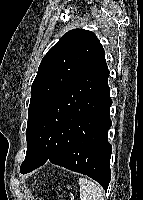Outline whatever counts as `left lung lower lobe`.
<instances>
[{
  "label": "left lung lower lobe",
  "mask_w": 143,
  "mask_h": 200,
  "mask_svg": "<svg viewBox=\"0 0 143 200\" xmlns=\"http://www.w3.org/2000/svg\"><path fill=\"white\" fill-rule=\"evenodd\" d=\"M109 71L104 49L39 114L32 135L29 173L50 161L86 174L107 190L112 146Z\"/></svg>",
  "instance_id": "1"
}]
</instances>
